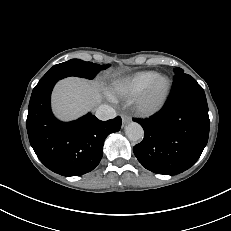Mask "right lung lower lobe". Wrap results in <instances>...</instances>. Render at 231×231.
Segmentation results:
<instances>
[{
  "instance_id": "right-lung-lower-lobe-1",
  "label": "right lung lower lobe",
  "mask_w": 231,
  "mask_h": 231,
  "mask_svg": "<svg viewBox=\"0 0 231 231\" xmlns=\"http://www.w3.org/2000/svg\"><path fill=\"white\" fill-rule=\"evenodd\" d=\"M59 79L33 89L27 116L30 144L39 160L63 176L92 171L103 156L105 138L121 128V118L101 121L88 113L78 120H57L50 108L51 91Z\"/></svg>"
}]
</instances>
